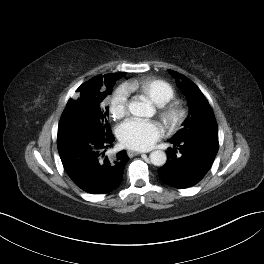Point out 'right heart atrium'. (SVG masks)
<instances>
[{"label":"right heart atrium","mask_w":264,"mask_h":264,"mask_svg":"<svg viewBox=\"0 0 264 264\" xmlns=\"http://www.w3.org/2000/svg\"><path fill=\"white\" fill-rule=\"evenodd\" d=\"M128 97V89L124 86L117 88L109 97V112L114 119H121L128 113Z\"/></svg>","instance_id":"obj_1"}]
</instances>
